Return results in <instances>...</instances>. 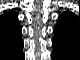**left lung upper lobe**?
<instances>
[{
  "label": "left lung upper lobe",
  "mask_w": 80,
  "mask_h": 60,
  "mask_svg": "<svg viewBox=\"0 0 80 60\" xmlns=\"http://www.w3.org/2000/svg\"><path fill=\"white\" fill-rule=\"evenodd\" d=\"M67 16L70 17L71 20H74L75 19V16L70 13V12H65L63 13L61 16H60V22L57 24L56 28H55V35H63V40L66 44H68V41L70 40V36H69V33L71 34V31H70V24L69 23H66L62 20H64ZM69 24V25H68Z\"/></svg>",
  "instance_id": "left-lung-upper-lobe-1"
}]
</instances>
